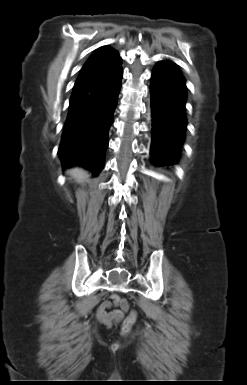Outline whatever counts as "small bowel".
I'll return each instance as SVG.
<instances>
[{
  "mask_svg": "<svg viewBox=\"0 0 247 385\" xmlns=\"http://www.w3.org/2000/svg\"><path fill=\"white\" fill-rule=\"evenodd\" d=\"M127 302L120 295L113 293L109 296L108 300L103 301L97 308V319L108 325L112 326L119 323L126 310Z\"/></svg>",
  "mask_w": 247,
  "mask_h": 385,
  "instance_id": "small-bowel-1",
  "label": "small bowel"
}]
</instances>
